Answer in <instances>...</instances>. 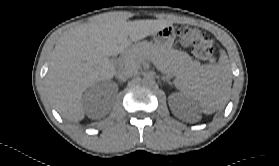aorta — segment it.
Listing matches in <instances>:
<instances>
[{
  "mask_svg": "<svg viewBox=\"0 0 279 166\" xmlns=\"http://www.w3.org/2000/svg\"><path fill=\"white\" fill-rule=\"evenodd\" d=\"M144 85H152L154 83V78L150 75H145L142 79Z\"/></svg>",
  "mask_w": 279,
  "mask_h": 166,
  "instance_id": "1",
  "label": "aorta"
}]
</instances>
